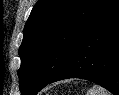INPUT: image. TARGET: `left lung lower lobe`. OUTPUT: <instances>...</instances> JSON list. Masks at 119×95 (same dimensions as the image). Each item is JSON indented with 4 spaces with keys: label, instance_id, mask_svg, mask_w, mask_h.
Returning <instances> with one entry per match:
<instances>
[{
    "label": "left lung lower lobe",
    "instance_id": "obj_1",
    "mask_svg": "<svg viewBox=\"0 0 119 95\" xmlns=\"http://www.w3.org/2000/svg\"><path fill=\"white\" fill-rule=\"evenodd\" d=\"M68 78L86 79L119 95V0L83 35L49 83Z\"/></svg>",
    "mask_w": 119,
    "mask_h": 95
}]
</instances>
